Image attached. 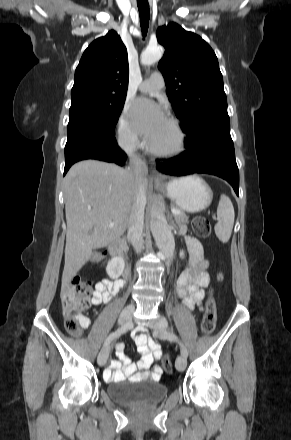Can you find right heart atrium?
I'll list each match as a JSON object with an SVG mask.
<instances>
[{
    "instance_id": "1",
    "label": "right heart atrium",
    "mask_w": 291,
    "mask_h": 440,
    "mask_svg": "<svg viewBox=\"0 0 291 440\" xmlns=\"http://www.w3.org/2000/svg\"><path fill=\"white\" fill-rule=\"evenodd\" d=\"M117 140L119 146L126 152H131L140 145L139 137L127 117L126 109L123 110L118 121Z\"/></svg>"
}]
</instances>
